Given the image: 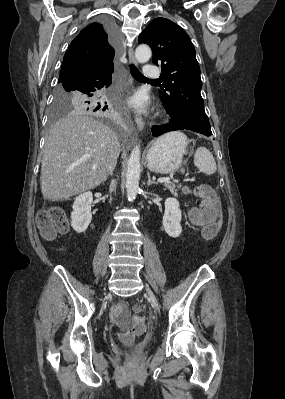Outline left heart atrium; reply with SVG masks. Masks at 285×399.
I'll use <instances>...</instances> for the list:
<instances>
[{
	"label": "left heart atrium",
	"mask_w": 285,
	"mask_h": 399,
	"mask_svg": "<svg viewBox=\"0 0 285 399\" xmlns=\"http://www.w3.org/2000/svg\"><path fill=\"white\" fill-rule=\"evenodd\" d=\"M131 107L138 112H145L148 107L146 96L142 92H136L129 100Z\"/></svg>",
	"instance_id": "left-heart-atrium-1"
}]
</instances>
